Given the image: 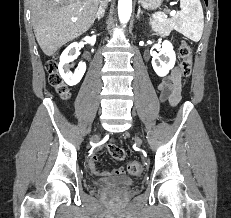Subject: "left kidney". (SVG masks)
I'll return each mask as SVG.
<instances>
[{"label": "left kidney", "mask_w": 231, "mask_h": 218, "mask_svg": "<svg viewBox=\"0 0 231 218\" xmlns=\"http://www.w3.org/2000/svg\"><path fill=\"white\" fill-rule=\"evenodd\" d=\"M176 61V55L172 44L165 40L160 52L152 58V66L156 74L163 77L169 73Z\"/></svg>", "instance_id": "1"}]
</instances>
